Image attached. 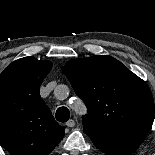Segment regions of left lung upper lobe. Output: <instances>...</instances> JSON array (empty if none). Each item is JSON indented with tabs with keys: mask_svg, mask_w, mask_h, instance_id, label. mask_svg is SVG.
I'll list each match as a JSON object with an SVG mask.
<instances>
[{
	"mask_svg": "<svg viewBox=\"0 0 155 155\" xmlns=\"http://www.w3.org/2000/svg\"><path fill=\"white\" fill-rule=\"evenodd\" d=\"M62 72L87 106L82 123L91 140L148 134L155 117L152 93L121 62L97 55L71 60Z\"/></svg>",
	"mask_w": 155,
	"mask_h": 155,
	"instance_id": "5c2ea615",
	"label": "left lung upper lobe"
}]
</instances>
